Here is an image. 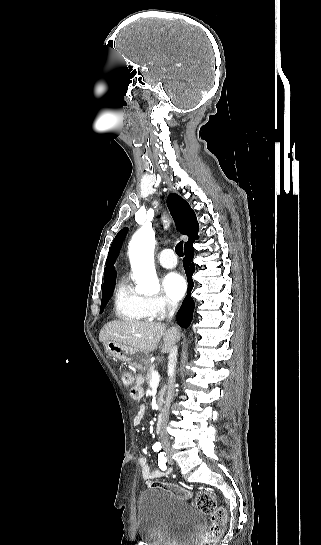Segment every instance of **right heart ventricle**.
<instances>
[{
    "mask_svg": "<svg viewBox=\"0 0 321 545\" xmlns=\"http://www.w3.org/2000/svg\"><path fill=\"white\" fill-rule=\"evenodd\" d=\"M115 316L129 323H144L150 320L140 299L122 278L114 292Z\"/></svg>",
    "mask_w": 321,
    "mask_h": 545,
    "instance_id": "obj_1",
    "label": "right heart ventricle"
}]
</instances>
